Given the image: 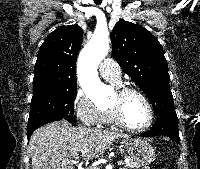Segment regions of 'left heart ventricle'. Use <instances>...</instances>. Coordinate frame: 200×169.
I'll return each mask as SVG.
<instances>
[{"mask_svg":"<svg viewBox=\"0 0 200 169\" xmlns=\"http://www.w3.org/2000/svg\"><path fill=\"white\" fill-rule=\"evenodd\" d=\"M116 92L113 94L110 105L118 101ZM122 112L126 123L134 128L144 126L149 118L148 108L141 97L136 94H129L125 96L122 101Z\"/></svg>","mask_w":200,"mask_h":169,"instance_id":"b2bd125f","label":"left heart ventricle"}]
</instances>
